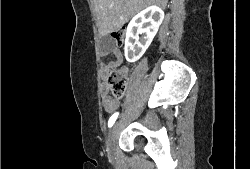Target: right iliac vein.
<instances>
[{"label":"right iliac vein","mask_w":250,"mask_h":169,"mask_svg":"<svg viewBox=\"0 0 250 169\" xmlns=\"http://www.w3.org/2000/svg\"><path fill=\"white\" fill-rule=\"evenodd\" d=\"M118 135V123H116L108 136V140H107V151L110 153L115 145V141Z\"/></svg>","instance_id":"63e3f726"}]
</instances>
